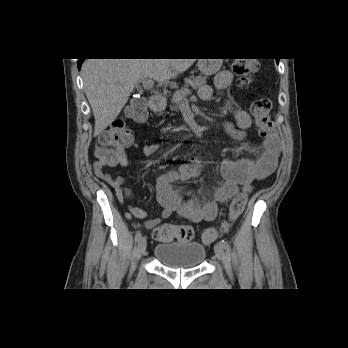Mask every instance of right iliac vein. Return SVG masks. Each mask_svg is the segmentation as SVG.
I'll return each instance as SVG.
<instances>
[{"label":"right iliac vein","instance_id":"63e3f726","mask_svg":"<svg viewBox=\"0 0 348 348\" xmlns=\"http://www.w3.org/2000/svg\"><path fill=\"white\" fill-rule=\"evenodd\" d=\"M147 247V240L145 237H141L140 240L138 241V255L142 256L144 255Z\"/></svg>","mask_w":348,"mask_h":348}]
</instances>
